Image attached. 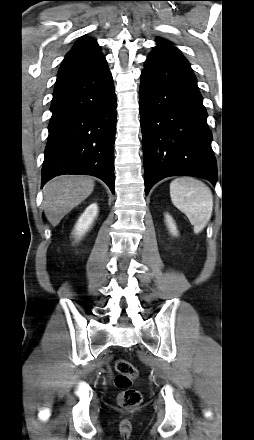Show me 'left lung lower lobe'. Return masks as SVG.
<instances>
[{
	"mask_svg": "<svg viewBox=\"0 0 254 440\" xmlns=\"http://www.w3.org/2000/svg\"><path fill=\"white\" fill-rule=\"evenodd\" d=\"M139 110L146 195L169 176H197L215 185L212 134L195 75L183 55L153 50L141 74Z\"/></svg>",
	"mask_w": 254,
	"mask_h": 440,
	"instance_id": "0a47b994",
	"label": "left lung lower lobe"
}]
</instances>
